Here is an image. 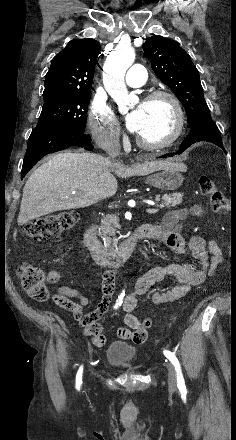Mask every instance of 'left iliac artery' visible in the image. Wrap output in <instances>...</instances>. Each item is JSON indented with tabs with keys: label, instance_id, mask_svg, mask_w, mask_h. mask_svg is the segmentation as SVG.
Listing matches in <instances>:
<instances>
[{
	"label": "left iliac artery",
	"instance_id": "left-iliac-artery-1",
	"mask_svg": "<svg viewBox=\"0 0 236 440\" xmlns=\"http://www.w3.org/2000/svg\"><path fill=\"white\" fill-rule=\"evenodd\" d=\"M163 353L171 361V363L175 367V370L177 373V387H178V389L181 391H185L186 390L185 381H184L181 366H180V363H179L177 357L174 355V353H172L168 350H164Z\"/></svg>",
	"mask_w": 236,
	"mask_h": 440
}]
</instances>
